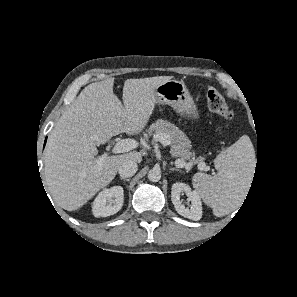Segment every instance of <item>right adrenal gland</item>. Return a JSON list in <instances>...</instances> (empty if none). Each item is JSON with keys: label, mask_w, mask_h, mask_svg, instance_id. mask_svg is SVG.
<instances>
[{"label": "right adrenal gland", "mask_w": 297, "mask_h": 297, "mask_svg": "<svg viewBox=\"0 0 297 297\" xmlns=\"http://www.w3.org/2000/svg\"><path fill=\"white\" fill-rule=\"evenodd\" d=\"M120 179L128 182L130 181V178H125V177H120Z\"/></svg>", "instance_id": "1"}]
</instances>
